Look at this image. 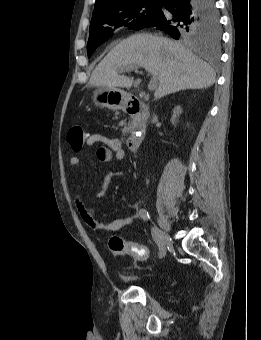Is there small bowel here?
Here are the masks:
<instances>
[{"label": "small bowel", "mask_w": 261, "mask_h": 340, "mask_svg": "<svg viewBox=\"0 0 261 340\" xmlns=\"http://www.w3.org/2000/svg\"><path fill=\"white\" fill-rule=\"evenodd\" d=\"M98 143H100L101 146L97 148L96 157L100 162L110 164L115 161H120L125 157V150L119 138L99 133H86L84 142L85 145L93 146ZM70 164L75 167H81L83 163L81 158H79L78 156H73L70 158ZM115 175L116 173L112 171H109L105 174L102 181V187L95 194V199H101L106 195L111 180ZM74 203L83 222L94 231H119L123 228L131 226L133 222L138 218V214H133L125 218L115 219L113 221L106 222L98 219L93 209L89 205L84 203L78 195L74 197Z\"/></svg>", "instance_id": "c3829d8e"}]
</instances>
